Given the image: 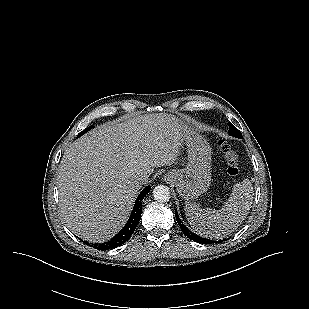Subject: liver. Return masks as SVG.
<instances>
[{
  "mask_svg": "<svg viewBox=\"0 0 309 309\" xmlns=\"http://www.w3.org/2000/svg\"><path fill=\"white\" fill-rule=\"evenodd\" d=\"M184 127L167 114H149L108 123L76 140L59 165L60 215L89 242L112 238L127 221L141 187L135 176L173 164ZM146 181V183H147Z\"/></svg>",
  "mask_w": 309,
  "mask_h": 309,
  "instance_id": "liver-1",
  "label": "liver"
}]
</instances>
